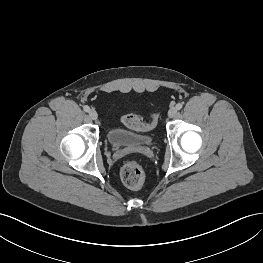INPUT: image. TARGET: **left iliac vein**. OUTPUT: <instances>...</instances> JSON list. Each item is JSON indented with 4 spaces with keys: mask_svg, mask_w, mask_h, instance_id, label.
<instances>
[{
    "mask_svg": "<svg viewBox=\"0 0 263 263\" xmlns=\"http://www.w3.org/2000/svg\"><path fill=\"white\" fill-rule=\"evenodd\" d=\"M177 114V109L175 107H171L168 111V116L170 118L174 117Z\"/></svg>",
    "mask_w": 263,
    "mask_h": 263,
    "instance_id": "left-iliac-vein-1",
    "label": "left iliac vein"
}]
</instances>
